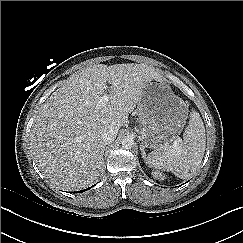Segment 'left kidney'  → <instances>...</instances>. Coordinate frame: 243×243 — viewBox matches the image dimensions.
I'll return each mask as SVG.
<instances>
[{"label": "left kidney", "mask_w": 243, "mask_h": 243, "mask_svg": "<svg viewBox=\"0 0 243 243\" xmlns=\"http://www.w3.org/2000/svg\"><path fill=\"white\" fill-rule=\"evenodd\" d=\"M152 175H153V177L158 178V179H164V177H165L162 174H159L157 172H153Z\"/></svg>", "instance_id": "left-kidney-1"}]
</instances>
